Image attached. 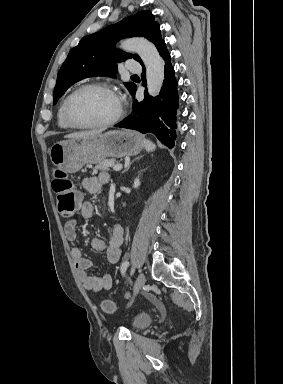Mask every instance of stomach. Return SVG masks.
I'll list each match as a JSON object with an SVG mask.
<instances>
[{
    "label": "stomach",
    "mask_w": 283,
    "mask_h": 384,
    "mask_svg": "<svg viewBox=\"0 0 283 384\" xmlns=\"http://www.w3.org/2000/svg\"><path fill=\"white\" fill-rule=\"evenodd\" d=\"M144 142L143 136L138 132L113 130L96 136L57 142L50 148L49 156L56 168L75 174L85 164H99L106 158L136 156L145 148Z\"/></svg>",
    "instance_id": "obj_1"
}]
</instances>
